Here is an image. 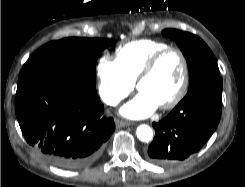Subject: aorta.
Listing matches in <instances>:
<instances>
[{"mask_svg": "<svg viewBox=\"0 0 245 187\" xmlns=\"http://www.w3.org/2000/svg\"><path fill=\"white\" fill-rule=\"evenodd\" d=\"M136 135L140 141L149 142L153 137V131L148 125H140L136 130Z\"/></svg>", "mask_w": 245, "mask_h": 187, "instance_id": "obj_1", "label": "aorta"}]
</instances>
